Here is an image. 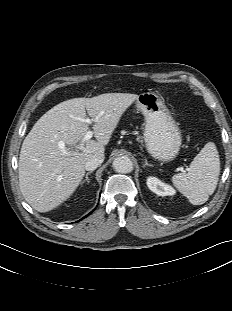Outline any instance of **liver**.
Returning a JSON list of instances; mask_svg holds the SVG:
<instances>
[{
    "instance_id": "6515ba94",
    "label": "liver",
    "mask_w": 232,
    "mask_h": 311,
    "mask_svg": "<svg viewBox=\"0 0 232 311\" xmlns=\"http://www.w3.org/2000/svg\"><path fill=\"white\" fill-rule=\"evenodd\" d=\"M136 94L106 93L92 98L63 101L47 111L25 137L19 157V187L26 202L38 212H48L68 199L85 175V162L104 158L105 145ZM94 120L96 140H82ZM63 141L65 149L59 147ZM75 148V149H73Z\"/></svg>"
}]
</instances>
